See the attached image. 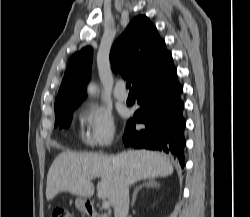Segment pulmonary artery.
<instances>
[{
	"label": "pulmonary artery",
	"instance_id": "1",
	"mask_svg": "<svg viewBox=\"0 0 250 217\" xmlns=\"http://www.w3.org/2000/svg\"><path fill=\"white\" fill-rule=\"evenodd\" d=\"M113 96L116 100L124 102L127 100L128 98V94L125 91V86L124 83L122 81H119L114 89H113Z\"/></svg>",
	"mask_w": 250,
	"mask_h": 217
}]
</instances>
